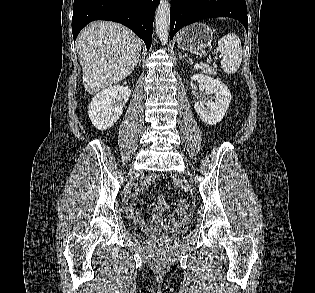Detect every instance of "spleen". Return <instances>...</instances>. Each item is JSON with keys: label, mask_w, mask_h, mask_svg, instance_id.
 <instances>
[{"label": "spleen", "mask_w": 315, "mask_h": 293, "mask_svg": "<svg viewBox=\"0 0 315 293\" xmlns=\"http://www.w3.org/2000/svg\"><path fill=\"white\" fill-rule=\"evenodd\" d=\"M218 48L222 54L221 68L227 74L235 73L242 62L241 41L234 33H228L218 41Z\"/></svg>", "instance_id": "1"}]
</instances>
